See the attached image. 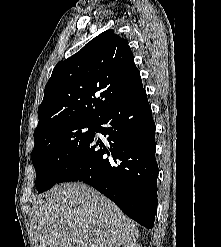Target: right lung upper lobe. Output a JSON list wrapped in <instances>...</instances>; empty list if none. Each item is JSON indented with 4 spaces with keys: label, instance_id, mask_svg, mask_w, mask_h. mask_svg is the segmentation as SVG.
Masks as SVG:
<instances>
[{
    "label": "right lung upper lobe",
    "instance_id": "1",
    "mask_svg": "<svg viewBox=\"0 0 221 247\" xmlns=\"http://www.w3.org/2000/svg\"><path fill=\"white\" fill-rule=\"evenodd\" d=\"M143 89L128 41L114 30L93 38L53 69L34 137L68 122H95Z\"/></svg>",
    "mask_w": 221,
    "mask_h": 247
}]
</instances>
